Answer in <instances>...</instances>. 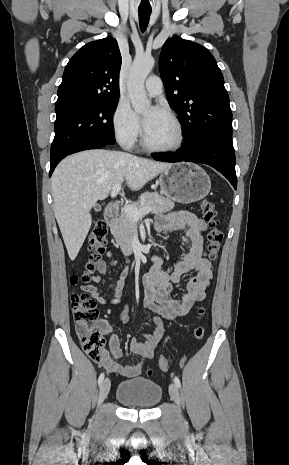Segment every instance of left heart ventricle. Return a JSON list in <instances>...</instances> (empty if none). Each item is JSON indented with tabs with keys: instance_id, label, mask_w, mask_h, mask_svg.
I'll list each match as a JSON object with an SVG mask.
<instances>
[{
	"instance_id": "left-heart-ventricle-1",
	"label": "left heart ventricle",
	"mask_w": 289,
	"mask_h": 465,
	"mask_svg": "<svg viewBox=\"0 0 289 465\" xmlns=\"http://www.w3.org/2000/svg\"><path fill=\"white\" fill-rule=\"evenodd\" d=\"M148 113L149 110H146L144 116ZM145 133L147 140L156 146H169L177 140V131L173 122L162 111L151 125L145 129Z\"/></svg>"
}]
</instances>
